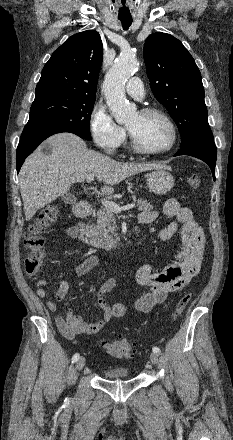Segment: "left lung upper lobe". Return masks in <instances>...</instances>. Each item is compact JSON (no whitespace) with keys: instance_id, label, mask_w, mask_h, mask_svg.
Here are the masks:
<instances>
[{"instance_id":"5c2ea615","label":"left lung upper lobe","mask_w":233,"mask_h":440,"mask_svg":"<svg viewBox=\"0 0 233 440\" xmlns=\"http://www.w3.org/2000/svg\"><path fill=\"white\" fill-rule=\"evenodd\" d=\"M143 56L151 90L176 122L181 147L212 135L201 74L183 44L170 34L154 33Z\"/></svg>"}]
</instances>
